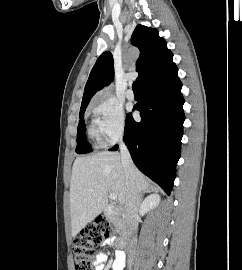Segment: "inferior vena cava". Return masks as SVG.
Returning a JSON list of instances; mask_svg holds the SVG:
<instances>
[{"label": "inferior vena cava", "mask_w": 242, "mask_h": 270, "mask_svg": "<svg viewBox=\"0 0 242 270\" xmlns=\"http://www.w3.org/2000/svg\"><path fill=\"white\" fill-rule=\"evenodd\" d=\"M120 154H121V163L124 169L125 177L129 183V191L127 194L125 202V222L133 229L134 231L138 228V210L140 203V195L135 189L133 184V175H134V164L132 162L130 153L126 145L121 141L119 145ZM137 242L136 238H133L130 241V248L133 249ZM131 263V261H129Z\"/></svg>", "instance_id": "1"}]
</instances>
